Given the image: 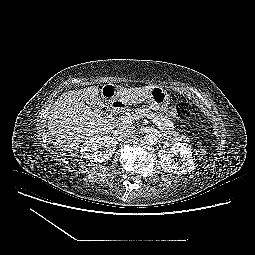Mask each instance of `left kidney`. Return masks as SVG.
<instances>
[{"instance_id": "1", "label": "left kidney", "mask_w": 255, "mask_h": 255, "mask_svg": "<svg viewBox=\"0 0 255 255\" xmlns=\"http://www.w3.org/2000/svg\"><path fill=\"white\" fill-rule=\"evenodd\" d=\"M158 155L164 171L179 175L190 173L195 168L191 147L187 143L173 144L170 151L160 150ZM174 155L180 158V163H175L172 159Z\"/></svg>"}]
</instances>
